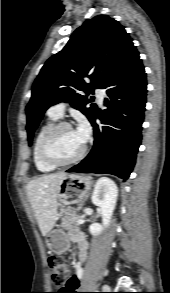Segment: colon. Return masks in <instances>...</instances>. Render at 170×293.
<instances>
[{
  "instance_id": "5ec220e1",
  "label": "colon",
  "mask_w": 170,
  "mask_h": 293,
  "mask_svg": "<svg viewBox=\"0 0 170 293\" xmlns=\"http://www.w3.org/2000/svg\"><path fill=\"white\" fill-rule=\"evenodd\" d=\"M51 267L52 282L56 287V290L51 293H68L69 287H67V279L70 275V270L65 262L59 257H51L49 259ZM73 283H71V286Z\"/></svg>"
}]
</instances>
